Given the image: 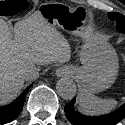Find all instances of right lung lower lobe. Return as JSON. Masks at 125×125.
<instances>
[{
  "mask_svg": "<svg viewBox=\"0 0 125 125\" xmlns=\"http://www.w3.org/2000/svg\"><path fill=\"white\" fill-rule=\"evenodd\" d=\"M30 87L31 85L28 86L11 104L0 107V124L11 122L19 116L23 110L25 97Z\"/></svg>",
  "mask_w": 125,
  "mask_h": 125,
  "instance_id": "obj_1",
  "label": "right lung lower lobe"
}]
</instances>
